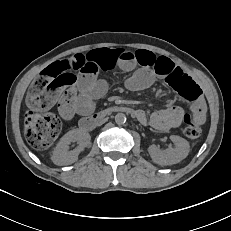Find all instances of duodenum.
Wrapping results in <instances>:
<instances>
[{
    "mask_svg": "<svg viewBox=\"0 0 231 231\" xmlns=\"http://www.w3.org/2000/svg\"><path fill=\"white\" fill-rule=\"evenodd\" d=\"M114 113H126L136 118L141 115L138 110H135L131 107L125 105H115L102 111L85 116L80 120L79 127L83 131H91L96 127L101 119L108 116L110 117Z\"/></svg>",
    "mask_w": 231,
    "mask_h": 231,
    "instance_id": "1",
    "label": "duodenum"
}]
</instances>
